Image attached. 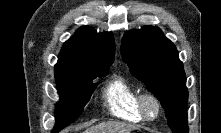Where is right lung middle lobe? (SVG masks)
Here are the masks:
<instances>
[{
	"label": "right lung middle lobe",
	"instance_id": "1",
	"mask_svg": "<svg viewBox=\"0 0 221 133\" xmlns=\"http://www.w3.org/2000/svg\"><path fill=\"white\" fill-rule=\"evenodd\" d=\"M110 66L91 65L55 75L60 101L56 105V123L52 133H58L80 116L96 88L93 80L97 76H106Z\"/></svg>",
	"mask_w": 221,
	"mask_h": 133
}]
</instances>
